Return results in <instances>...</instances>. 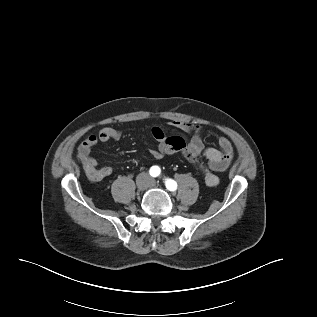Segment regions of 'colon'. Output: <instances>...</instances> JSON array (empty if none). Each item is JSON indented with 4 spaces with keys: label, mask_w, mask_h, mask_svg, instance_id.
<instances>
[{
    "label": "colon",
    "mask_w": 317,
    "mask_h": 317,
    "mask_svg": "<svg viewBox=\"0 0 317 317\" xmlns=\"http://www.w3.org/2000/svg\"><path fill=\"white\" fill-rule=\"evenodd\" d=\"M165 144L167 146L171 145L173 147V149H175L177 152H181L180 151V141L178 139H175L173 137H168L166 140H165ZM184 153V152H183ZM188 157V159L190 160L191 163H195L196 159L192 156H190L189 154L185 153Z\"/></svg>",
    "instance_id": "colon-1"
}]
</instances>
